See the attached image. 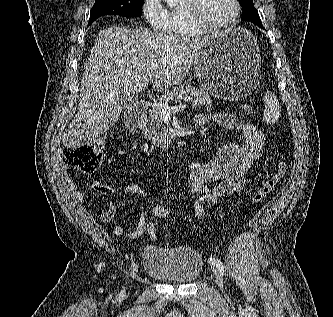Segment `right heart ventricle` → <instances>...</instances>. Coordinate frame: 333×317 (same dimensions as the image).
<instances>
[{
	"instance_id": "1",
	"label": "right heart ventricle",
	"mask_w": 333,
	"mask_h": 317,
	"mask_svg": "<svg viewBox=\"0 0 333 317\" xmlns=\"http://www.w3.org/2000/svg\"><path fill=\"white\" fill-rule=\"evenodd\" d=\"M186 0L172 7L168 12L167 33L173 37L187 39L200 36L203 32L197 29L190 21L185 10Z\"/></svg>"
}]
</instances>
